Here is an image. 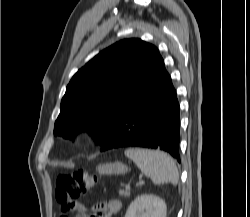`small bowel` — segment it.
Segmentation results:
<instances>
[{
	"label": "small bowel",
	"instance_id": "small-bowel-1",
	"mask_svg": "<svg viewBox=\"0 0 250 217\" xmlns=\"http://www.w3.org/2000/svg\"><path fill=\"white\" fill-rule=\"evenodd\" d=\"M103 217H110L119 213L122 209V202L119 199H111L105 203L101 204ZM66 211H71L75 213V217H89L85 213V207L80 204L73 208L65 209Z\"/></svg>",
	"mask_w": 250,
	"mask_h": 217
}]
</instances>
